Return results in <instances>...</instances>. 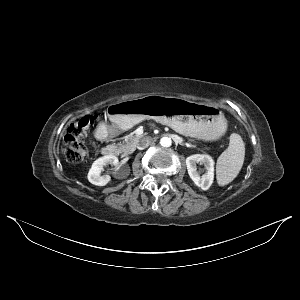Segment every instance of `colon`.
I'll return each mask as SVG.
<instances>
[{"instance_id": "1", "label": "colon", "mask_w": 300, "mask_h": 300, "mask_svg": "<svg viewBox=\"0 0 300 300\" xmlns=\"http://www.w3.org/2000/svg\"><path fill=\"white\" fill-rule=\"evenodd\" d=\"M93 120L92 116H84L68 127L64 137V154L69 162L80 163L85 159L87 155L85 138Z\"/></svg>"}]
</instances>
